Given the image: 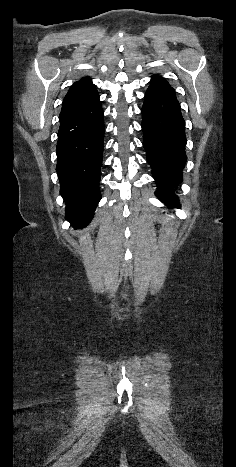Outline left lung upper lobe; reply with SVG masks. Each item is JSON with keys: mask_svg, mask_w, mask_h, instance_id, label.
<instances>
[{"mask_svg": "<svg viewBox=\"0 0 236 467\" xmlns=\"http://www.w3.org/2000/svg\"><path fill=\"white\" fill-rule=\"evenodd\" d=\"M150 83L151 84L149 87L174 91V89L169 85V83L164 78L158 75H153Z\"/></svg>", "mask_w": 236, "mask_h": 467, "instance_id": "1", "label": "left lung upper lobe"}]
</instances>
